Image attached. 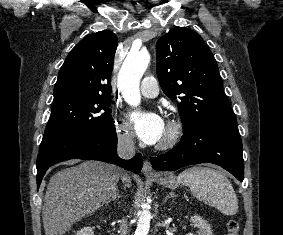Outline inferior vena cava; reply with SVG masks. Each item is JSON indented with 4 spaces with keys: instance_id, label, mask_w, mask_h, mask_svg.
<instances>
[{
    "instance_id": "1",
    "label": "inferior vena cava",
    "mask_w": 283,
    "mask_h": 235,
    "mask_svg": "<svg viewBox=\"0 0 283 235\" xmlns=\"http://www.w3.org/2000/svg\"><path fill=\"white\" fill-rule=\"evenodd\" d=\"M117 153L123 159H130L135 154L134 134L128 130L119 134L117 143ZM127 220L123 219L119 225V234L127 235Z\"/></svg>"
}]
</instances>
